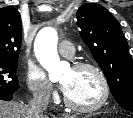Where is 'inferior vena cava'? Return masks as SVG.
Listing matches in <instances>:
<instances>
[{"label": "inferior vena cava", "mask_w": 133, "mask_h": 118, "mask_svg": "<svg viewBox=\"0 0 133 118\" xmlns=\"http://www.w3.org/2000/svg\"><path fill=\"white\" fill-rule=\"evenodd\" d=\"M49 97L50 93L47 90L35 93L28 105L27 118H43V113L49 104Z\"/></svg>", "instance_id": "obj_1"}]
</instances>
